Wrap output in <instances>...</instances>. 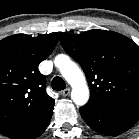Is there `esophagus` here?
Listing matches in <instances>:
<instances>
[{
    "mask_svg": "<svg viewBox=\"0 0 139 139\" xmlns=\"http://www.w3.org/2000/svg\"><path fill=\"white\" fill-rule=\"evenodd\" d=\"M62 96H68L70 94V89L66 88L60 92Z\"/></svg>",
    "mask_w": 139,
    "mask_h": 139,
    "instance_id": "34e87169",
    "label": "esophagus"
}]
</instances>
